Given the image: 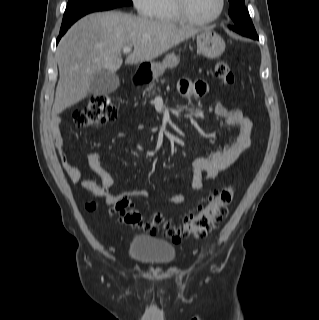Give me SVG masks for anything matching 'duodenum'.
Returning a JSON list of instances; mask_svg holds the SVG:
<instances>
[{
  "mask_svg": "<svg viewBox=\"0 0 319 320\" xmlns=\"http://www.w3.org/2000/svg\"><path fill=\"white\" fill-rule=\"evenodd\" d=\"M135 83L142 84L148 81V73L144 74L142 72H138L134 78Z\"/></svg>",
  "mask_w": 319,
  "mask_h": 320,
  "instance_id": "410a0bca",
  "label": "duodenum"
}]
</instances>
